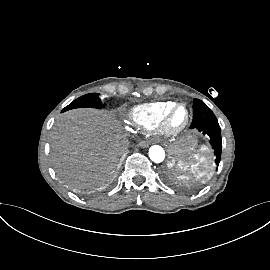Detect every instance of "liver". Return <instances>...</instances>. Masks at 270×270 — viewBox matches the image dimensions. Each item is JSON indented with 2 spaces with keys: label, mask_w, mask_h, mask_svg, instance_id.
<instances>
[{
  "label": "liver",
  "mask_w": 270,
  "mask_h": 270,
  "mask_svg": "<svg viewBox=\"0 0 270 270\" xmlns=\"http://www.w3.org/2000/svg\"><path fill=\"white\" fill-rule=\"evenodd\" d=\"M121 138L111 112L73 109L60 115L51 134L52 161L84 185L104 186L115 172L114 144Z\"/></svg>",
  "instance_id": "6515ba94"
}]
</instances>
